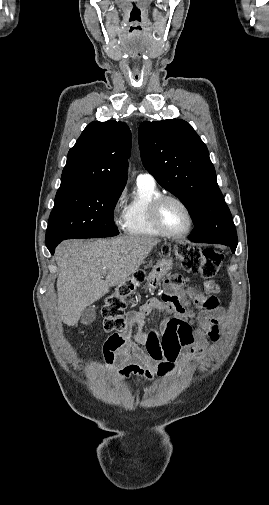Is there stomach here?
I'll list each match as a JSON object with an SVG mask.
<instances>
[{
    "mask_svg": "<svg viewBox=\"0 0 269 505\" xmlns=\"http://www.w3.org/2000/svg\"><path fill=\"white\" fill-rule=\"evenodd\" d=\"M172 264L171 259H161L147 277V288L150 290L156 289L162 278L172 269Z\"/></svg>",
    "mask_w": 269,
    "mask_h": 505,
    "instance_id": "0dacf381",
    "label": "stomach"
}]
</instances>
